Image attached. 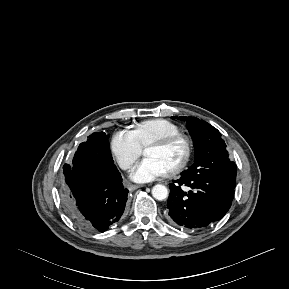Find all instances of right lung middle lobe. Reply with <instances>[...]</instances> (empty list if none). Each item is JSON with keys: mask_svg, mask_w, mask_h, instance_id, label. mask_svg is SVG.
<instances>
[{"mask_svg": "<svg viewBox=\"0 0 289 289\" xmlns=\"http://www.w3.org/2000/svg\"><path fill=\"white\" fill-rule=\"evenodd\" d=\"M108 138L109 135H106L104 132H95L91 134L88 136V140L86 142L79 145L73 158V164H65L63 168H70L84 156L92 157L105 164H114Z\"/></svg>", "mask_w": 289, "mask_h": 289, "instance_id": "obj_1", "label": "right lung middle lobe"}]
</instances>
